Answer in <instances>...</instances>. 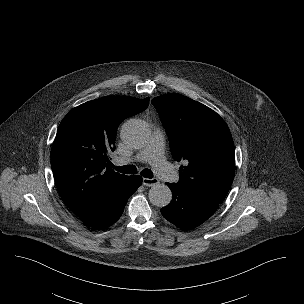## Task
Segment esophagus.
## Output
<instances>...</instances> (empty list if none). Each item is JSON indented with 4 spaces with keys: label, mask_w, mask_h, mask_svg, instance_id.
<instances>
[{
    "label": "esophagus",
    "mask_w": 304,
    "mask_h": 304,
    "mask_svg": "<svg viewBox=\"0 0 304 304\" xmlns=\"http://www.w3.org/2000/svg\"><path fill=\"white\" fill-rule=\"evenodd\" d=\"M159 183V180L156 178H143V185L151 187Z\"/></svg>",
    "instance_id": "34e87169"
}]
</instances>
